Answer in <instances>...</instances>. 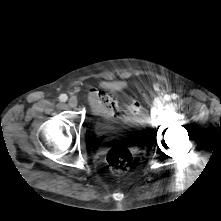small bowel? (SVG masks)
<instances>
[{
    "mask_svg": "<svg viewBox=\"0 0 221 221\" xmlns=\"http://www.w3.org/2000/svg\"><path fill=\"white\" fill-rule=\"evenodd\" d=\"M104 97L108 98V103L103 101ZM89 101L93 113L104 119L111 117L117 119L126 118L129 117L134 110L133 108L120 109L116 100L103 89H92L89 92Z\"/></svg>",
    "mask_w": 221,
    "mask_h": 221,
    "instance_id": "1",
    "label": "small bowel"
}]
</instances>
